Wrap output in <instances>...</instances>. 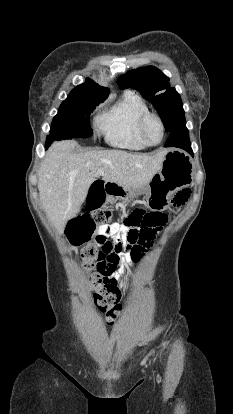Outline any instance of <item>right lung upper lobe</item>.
<instances>
[{"label":"right lung upper lobe","instance_id":"cb5924a9","mask_svg":"<svg viewBox=\"0 0 233 414\" xmlns=\"http://www.w3.org/2000/svg\"><path fill=\"white\" fill-rule=\"evenodd\" d=\"M72 91L89 95L93 99L100 100V101H104L109 94V88L102 87L91 79H87L85 83L78 85Z\"/></svg>","mask_w":233,"mask_h":414}]
</instances>
